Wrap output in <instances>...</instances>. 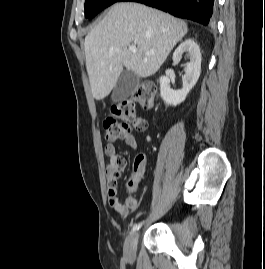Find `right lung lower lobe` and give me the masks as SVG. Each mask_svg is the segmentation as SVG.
I'll return each mask as SVG.
<instances>
[{"label":"right lung lower lobe","mask_w":265,"mask_h":269,"mask_svg":"<svg viewBox=\"0 0 265 269\" xmlns=\"http://www.w3.org/2000/svg\"><path fill=\"white\" fill-rule=\"evenodd\" d=\"M161 9L176 17L207 25L212 18L215 0H124Z\"/></svg>","instance_id":"98d812e1"}]
</instances>
